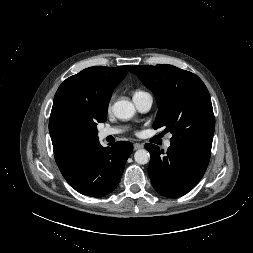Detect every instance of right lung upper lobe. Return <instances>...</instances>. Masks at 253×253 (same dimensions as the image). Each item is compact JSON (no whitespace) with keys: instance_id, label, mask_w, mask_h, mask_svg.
Segmentation results:
<instances>
[{"instance_id":"obj_1","label":"right lung upper lobe","mask_w":253,"mask_h":253,"mask_svg":"<svg viewBox=\"0 0 253 253\" xmlns=\"http://www.w3.org/2000/svg\"><path fill=\"white\" fill-rule=\"evenodd\" d=\"M129 68L128 65L89 67L67 78L59 86L49 120L59 169L84 147L98 140L97 123L106 121L113 89L125 78Z\"/></svg>"}]
</instances>
